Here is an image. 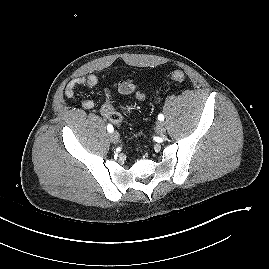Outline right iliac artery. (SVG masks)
I'll return each mask as SVG.
<instances>
[{"label":"right iliac artery","mask_w":269,"mask_h":269,"mask_svg":"<svg viewBox=\"0 0 269 269\" xmlns=\"http://www.w3.org/2000/svg\"><path fill=\"white\" fill-rule=\"evenodd\" d=\"M107 130H108V132H113V126L111 125V124H108L107 125Z\"/></svg>","instance_id":"82829eb1"}]
</instances>
